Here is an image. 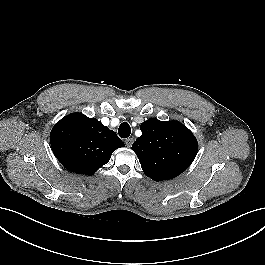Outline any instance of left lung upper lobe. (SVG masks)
I'll return each mask as SVG.
<instances>
[{"mask_svg": "<svg viewBox=\"0 0 265 265\" xmlns=\"http://www.w3.org/2000/svg\"><path fill=\"white\" fill-rule=\"evenodd\" d=\"M142 135L132 145L144 173L155 181L183 173L193 162L198 143L192 132L178 121L148 119Z\"/></svg>", "mask_w": 265, "mask_h": 265, "instance_id": "obj_1", "label": "left lung upper lobe"}]
</instances>
